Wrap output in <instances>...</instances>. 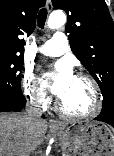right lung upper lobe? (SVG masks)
<instances>
[{
    "instance_id": "1",
    "label": "right lung upper lobe",
    "mask_w": 114,
    "mask_h": 156,
    "mask_svg": "<svg viewBox=\"0 0 114 156\" xmlns=\"http://www.w3.org/2000/svg\"><path fill=\"white\" fill-rule=\"evenodd\" d=\"M46 0H0V55L23 56L24 39L36 26L38 9Z\"/></svg>"
}]
</instances>
